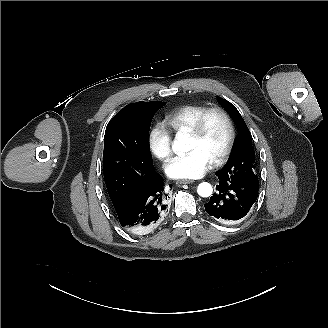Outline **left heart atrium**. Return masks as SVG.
Returning <instances> with one entry per match:
<instances>
[{
  "label": "left heart atrium",
  "instance_id": "obj_1",
  "mask_svg": "<svg viewBox=\"0 0 328 328\" xmlns=\"http://www.w3.org/2000/svg\"><path fill=\"white\" fill-rule=\"evenodd\" d=\"M211 159L200 150L177 155L164 164L166 174L176 179H198L212 167Z\"/></svg>",
  "mask_w": 328,
  "mask_h": 328
}]
</instances>
